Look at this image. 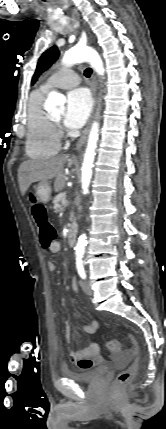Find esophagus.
<instances>
[{"instance_id":"34e87169","label":"esophagus","mask_w":166,"mask_h":429,"mask_svg":"<svg viewBox=\"0 0 166 429\" xmlns=\"http://www.w3.org/2000/svg\"><path fill=\"white\" fill-rule=\"evenodd\" d=\"M72 17L73 19H77L79 18V14L76 10H74L72 12ZM91 91H92V96H93V110H92V114L89 118L88 124L86 126V128L84 129L81 137L79 138L77 144H76V150H80V148L83 146V144L85 143L86 139H87V135L89 132V128L91 125V121L93 118V112H94V107H95V103H96V75L95 73H92V77H91Z\"/></svg>"}]
</instances>
